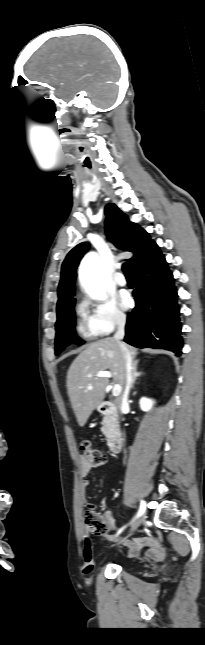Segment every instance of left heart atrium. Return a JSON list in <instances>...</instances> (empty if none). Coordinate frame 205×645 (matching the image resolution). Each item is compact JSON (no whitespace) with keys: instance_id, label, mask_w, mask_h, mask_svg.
<instances>
[{"instance_id":"left-heart-atrium-1","label":"left heart atrium","mask_w":205,"mask_h":645,"mask_svg":"<svg viewBox=\"0 0 205 645\" xmlns=\"http://www.w3.org/2000/svg\"><path fill=\"white\" fill-rule=\"evenodd\" d=\"M121 303L124 308H129L132 305V299L128 294L121 297Z\"/></svg>"}]
</instances>
